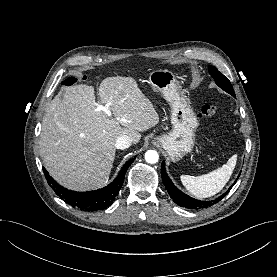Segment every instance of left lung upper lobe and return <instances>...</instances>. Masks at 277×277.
<instances>
[{
	"label": "left lung upper lobe",
	"instance_id": "obj_1",
	"mask_svg": "<svg viewBox=\"0 0 277 277\" xmlns=\"http://www.w3.org/2000/svg\"><path fill=\"white\" fill-rule=\"evenodd\" d=\"M209 73L220 88L235 97V93L230 81L222 73H220L217 68L209 66Z\"/></svg>",
	"mask_w": 277,
	"mask_h": 277
}]
</instances>
